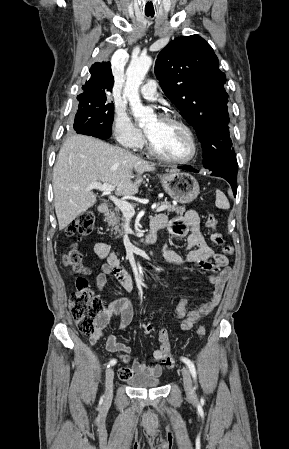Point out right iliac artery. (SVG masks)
<instances>
[{
	"label": "right iliac artery",
	"mask_w": 289,
	"mask_h": 449,
	"mask_svg": "<svg viewBox=\"0 0 289 449\" xmlns=\"http://www.w3.org/2000/svg\"><path fill=\"white\" fill-rule=\"evenodd\" d=\"M115 364H116V360H115V359H112V360H110L109 363L107 364V367L113 366V365H115Z\"/></svg>",
	"instance_id": "1"
}]
</instances>
